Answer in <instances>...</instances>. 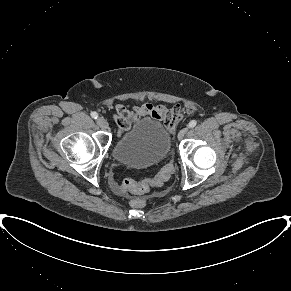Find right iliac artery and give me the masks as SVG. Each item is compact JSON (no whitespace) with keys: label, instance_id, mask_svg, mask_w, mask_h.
<instances>
[{"label":"right iliac artery","instance_id":"82829eb1","mask_svg":"<svg viewBox=\"0 0 291 291\" xmlns=\"http://www.w3.org/2000/svg\"><path fill=\"white\" fill-rule=\"evenodd\" d=\"M91 117L94 118V119H97L98 118V114L96 112H92L91 113Z\"/></svg>","mask_w":291,"mask_h":291}]
</instances>
